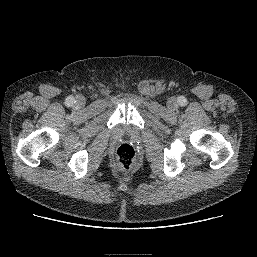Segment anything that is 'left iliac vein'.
Returning a JSON list of instances; mask_svg holds the SVG:
<instances>
[{"mask_svg": "<svg viewBox=\"0 0 257 257\" xmlns=\"http://www.w3.org/2000/svg\"><path fill=\"white\" fill-rule=\"evenodd\" d=\"M167 106L171 110L176 109L178 107V102H177L176 98H174V97L169 98L167 101Z\"/></svg>", "mask_w": 257, "mask_h": 257, "instance_id": "4c4485c4", "label": "left iliac vein"}]
</instances>
